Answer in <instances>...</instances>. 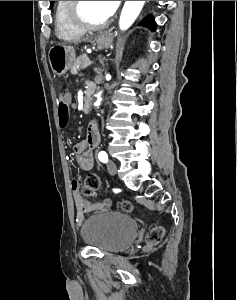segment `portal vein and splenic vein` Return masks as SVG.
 <instances>
[{
  "mask_svg": "<svg viewBox=\"0 0 237 300\" xmlns=\"http://www.w3.org/2000/svg\"><path fill=\"white\" fill-rule=\"evenodd\" d=\"M90 62H91V63H90ZM92 62H93L92 60H91V61H90V60H89V61L87 60L86 62H84L85 69H88L89 64H92Z\"/></svg>",
  "mask_w": 237,
  "mask_h": 300,
  "instance_id": "18ae733b",
  "label": "portal vein and splenic vein"
}]
</instances>
